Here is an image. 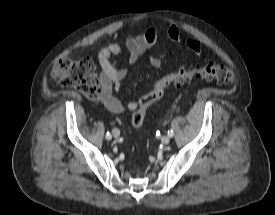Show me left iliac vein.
<instances>
[{"instance_id":"left-iliac-vein-1","label":"left iliac vein","mask_w":275,"mask_h":215,"mask_svg":"<svg viewBox=\"0 0 275 215\" xmlns=\"http://www.w3.org/2000/svg\"><path fill=\"white\" fill-rule=\"evenodd\" d=\"M161 142H162L163 144H168V143L170 142V137L167 136V135L163 136V137L161 138Z\"/></svg>"}]
</instances>
